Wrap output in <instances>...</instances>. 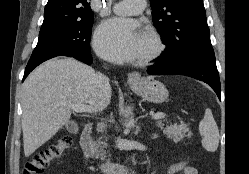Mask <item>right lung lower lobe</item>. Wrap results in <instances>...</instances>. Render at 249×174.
Masks as SVG:
<instances>
[{
  "label": "right lung lower lobe",
  "mask_w": 249,
  "mask_h": 174,
  "mask_svg": "<svg viewBox=\"0 0 249 174\" xmlns=\"http://www.w3.org/2000/svg\"><path fill=\"white\" fill-rule=\"evenodd\" d=\"M56 56H68V57H73L79 61H82L88 65L92 64V56L90 53H71V52H62V53H52V54H47L44 55L42 57H40L39 59L35 60V61H29L26 68H25V73H24V77H23V81L24 79L28 76V74L35 68L37 67L39 64H41L42 62L56 57Z\"/></svg>",
  "instance_id": "right-lung-lower-lobe-1"
}]
</instances>
